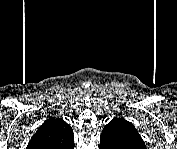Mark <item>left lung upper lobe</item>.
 I'll list each match as a JSON object with an SVG mask.
<instances>
[{"label": "left lung upper lobe", "mask_w": 177, "mask_h": 149, "mask_svg": "<svg viewBox=\"0 0 177 149\" xmlns=\"http://www.w3.org/2000/svg\"><path fill=\"white\" fill-rule=\"evenodd\" d=\"M100 147L105 149H144L146 146L131 122L123 118H114L102 131Z\"/></svg>", "instance_id": "5c2ea615"}]
</instances>
